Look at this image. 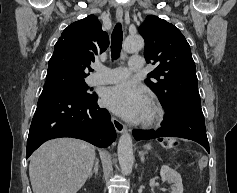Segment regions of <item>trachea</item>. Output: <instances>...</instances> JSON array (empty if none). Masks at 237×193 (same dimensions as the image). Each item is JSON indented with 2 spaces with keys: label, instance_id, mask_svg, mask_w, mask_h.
Instances as JSON below:
<instances>
[{
  "label": "trachea",
  "instance_id": "obj_1",
  "mask_svg": "<svg viewBox=\"0 0 237 193\" xmlns=\"http://www.w3.org/2000/svg\"><path fill=\"white\" fill-rule=\"evenodd\" d=\"M123 41L122 26L120 23L116 24L111 35V57L113 60L117 59L120 55Z\"/></svg>",
  "mask_w": 237,
  "mask_h": 193
}]
</instances>
